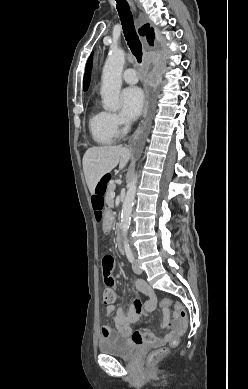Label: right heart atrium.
<instances>
[{
  "instance_id": "1",
  "label": "right heart atrium",
  "mask_w": 248,
  "mask_h": 389,
  "mask_svg": "<svg viewBox=\"0 0 248 389\" xmlns=\"http://www.w3.org/2000/svg\"><path fill=\"white\" fill-rule=\"evenodd\" d=\"M110 121L115 133H120L125 129V121L121 115L110 113Z\"/></svg>"
}]
</instances>
